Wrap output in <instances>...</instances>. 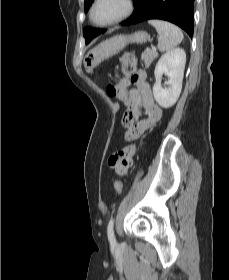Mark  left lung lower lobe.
Here are the masks:
<instances>
[{
    "label": "left lung lower lobe",
    "instance_id": "left-lung-lower-lobe-1",
    "mask_svg": "<svg viewBox=\"0 0 229 280\" xmlns=\"http://www.w3.org/2000/svg\"><path fill=\"white\" fill-rule=\"evenodd\" d=\"M194 0H137L134 14L124 26L149 19L172 22L193 36Z\"/></svg>",
    "mask_w": 229,
    "mask_h": 280
}]
</instances>
